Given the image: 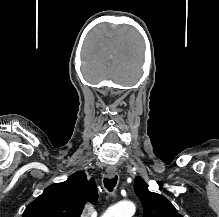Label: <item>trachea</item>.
<instances>
[{
	"instance_id": "3493384b",
	"label": "trachea",
	"mask_w": 219,
	"mask_h": 217,
	"mask_svg": "<svg viewBox=\"0 0 219 217\" xmlns=\"http://www.w3.org/2000/svg\"><path fill=\"white\" fill-rule=\"evenodd\" d=\"M117 184V176L113 178H105L104 179V186L108 191H112Z\"/></svg>"
}]
</instances>
